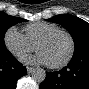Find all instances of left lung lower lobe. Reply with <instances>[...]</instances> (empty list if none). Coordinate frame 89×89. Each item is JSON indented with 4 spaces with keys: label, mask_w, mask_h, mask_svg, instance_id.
I'll list each match as a JSON object with an SVG mask.
<instances>
[{
    "label": "left lung lower lobe",
    "mask_w": 89,
    "mask_h": 89,
    "mask_svg": "<svg viewBox=\"0 0 89 89\" xmlns=\"http://www.w3.org/2000/svg\"><path fill=\"white\" fill-rule=\"evenodd\" d=\"M40 89H89V51L73 56L62 70L46 73Z\"/></svg>",
    "instance_id": "0a47b994"
}]
</instances>
